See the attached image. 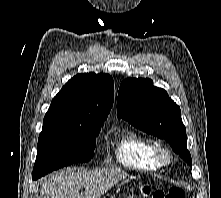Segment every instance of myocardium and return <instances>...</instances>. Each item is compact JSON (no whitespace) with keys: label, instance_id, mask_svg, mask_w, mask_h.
Instances as JSON below:
<instances>
[{"label":"myocardium","instance_id":"myocardium-1","mask_svg":"<svg viewBox=\"0 0 221 198\" xmlns=\"http://www.w3.org/2000/svg\"><path fill=\"white\" fill-rule=\"evenodd\" d=\"M154 154L161 165H168L172 162V151L164 144L156 143L154 146Z\"/></svg>","mask_w":221,"mask_h":198}]
</instances>
